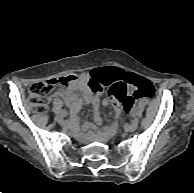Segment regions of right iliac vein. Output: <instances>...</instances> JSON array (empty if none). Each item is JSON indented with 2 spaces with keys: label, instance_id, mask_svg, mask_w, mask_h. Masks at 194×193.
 <instances>
[{
  "label": "right iliac vein",
  "instance_id": "1",
  "mask_svg": "<svg viewBox=\"0 0 194 193\" xmlns=\"http://www.w3.org/2000/svg\"><path fill=\"white\" fill-rule=\"evenodd\" d=\"M57 121H58V123L61 124V125H65V124H66V122H65V121L63 120V118H61V117H59Z\"/></svg>",
  "mask_w": 194,
  "mask_h": 193
}]
</instances>
